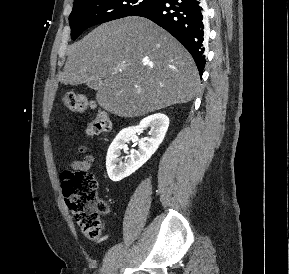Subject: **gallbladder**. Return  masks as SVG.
Instances as JSON below:
<instances>
[{
    "mask_svg": "<svg viewBox=\"0 0 289 274\" xmlns=\"http://www.w3.org/2000/svg\"><path fill=\"white\" fill-rule=\"evenodd\" d=\"M88 85V87H90V88H93L94 89V84L93 83H89V84H87Z\"/></svg>",
    "mask_w": 289,
    "mask_h": 274,
    "instance_id": "gallbladder-1",
    "label": "gallbladder"
}]
</instances>
